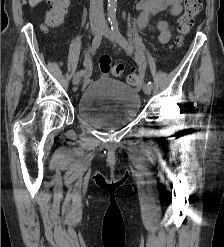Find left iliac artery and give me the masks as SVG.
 Wrapping results in <instances>:
<instances>
[{"label": "left iliac artery", "mask_w": 224, "mask_h": 247, "mask_svg": "<svg viewBox=\"0 0 224 247\" xmlns=\"http://www.w3.org/2000/svg\"><path fill=\"white\" fill-rule=\"evenodd\" d=\"M111 30L115 34L119 45L123 47L125 50H127L129 53H131L133 49L131 45L128 43V41L125 39V37L120 33L118 21L115 18L111 20ZM148 85L151 88L153 87V83L151 81H148Z\"/></svg>", "instance_id": "obj_1"}]
</instances>
